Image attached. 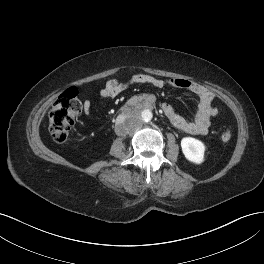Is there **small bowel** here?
Here are the masks:
<instances>
[{"label": "small bowel", "mask_w": 264, "mask_h": 264, "mask_svg": "<svg viewBox=\"0 0 264 264\" xmlns=\"http://www.w3.org/2000/svg\"><path fill=\"white\" fill-rule=\"evenodd\" d=\"M134 83L149 84L155 88L162 89L166 86L186 89L198 98V107L192 119H186L178 114L171 105L162 104L161 109L169 122L177 129L193 135H205L208 133L211 118L215 115V108L212 106L213 94L201 84L181 79L172 78L162 80L147 74L134 75L128 82L120 83L115 80L107 82L99 91L101 97L105 99L115 98L126 86ZM82 109L85 115L89 116L92 112L91 101H83Z\"/></svg>", "instance_id": "1"}]
</instances>
